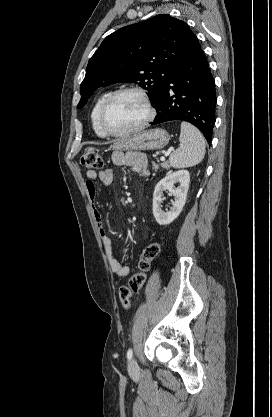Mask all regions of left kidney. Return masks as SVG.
Returning a JSON list of instances; mask_svg holds the SVG:
<instances>
[{"instance_id":"left-kidney-1","label":"left kidney","mask_w":272,"mask_h":417,"mask_svg":"<svg viewBox=\"0 0 272 417\" xmlns=\"http://www.w3.org/2000/svg\"><path fill=\"white\" fill-rule=\"evenodd\" d=\"M175 183H179L177 188L174 186ZM189 183L190 174L187 170L167 174L157 183L153 193V214L158 224L168 225L179 216L186 202ZM165 190L174 196L172 207L167 212H163L160 206Z\"/></svg>"}]
</instances>
